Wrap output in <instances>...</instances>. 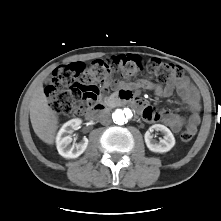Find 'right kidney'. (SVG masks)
Segmentation results:
<instances>
[{"mask_svg":"<svg viewBox=\"0 0 221 221\" xmlns=\"http://www.w3.org/2000/svg\"><path fill=\"white\" fill-rule=\"evenodd\" d=\"M82 120L75 118L64 123L59 130L56 137L57 150L61 156L67 159H74L79 157L88 146V139L86 137L75 145H70L72 142V132L80 126Z\"/></svg>","mask_w":221,"mask_h":221,"instance_id":"1","label":"right kidney"}]
</instances>
